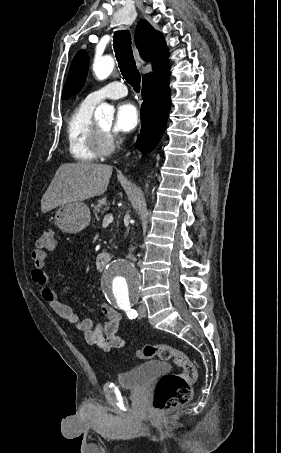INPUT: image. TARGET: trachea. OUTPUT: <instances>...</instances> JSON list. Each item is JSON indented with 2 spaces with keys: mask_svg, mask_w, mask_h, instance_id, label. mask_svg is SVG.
I'll return each instance as SVG.
<instances>
[{
  "mask_svg": "<svg viewBox=\"0 0 281 453\" xmlns=\"http://www.w3.org/2000/svg\"><path fill=\"white\" fill-rule=\"evenodd\" d=\"M113 47L121 74L136 92L140 91L141 76L137 70L131 48V35L128 30L116 31Z\"/></svg>",
  "mask_w": 281,
  "mask_h": 453,
  "instance_id": "trachea-1",
  "label": "trachea"
}]
</instances>
